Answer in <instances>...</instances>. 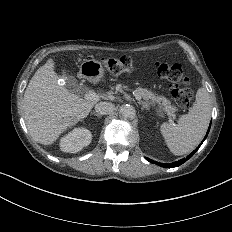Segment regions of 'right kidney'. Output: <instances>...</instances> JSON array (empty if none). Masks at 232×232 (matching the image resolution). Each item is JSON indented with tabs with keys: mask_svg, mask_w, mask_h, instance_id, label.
Masks as SVG:
<instances>
[{
	"mask_svg": "<svg viewBox=\"0 0 232 232\" xmlns=\"http://www.w3.org/2000/svg\"><path fill=\"white\" fill-rule=\"evenodd\" d=\"M92 134L84 128H75L60 140V149L67 153H77L91 143Z\"/></svg>",
	"mask_w": 232,
	"mask_h": 232,
	"instance_id": "1",
	"label": "right kidney"
}]
</instances>
